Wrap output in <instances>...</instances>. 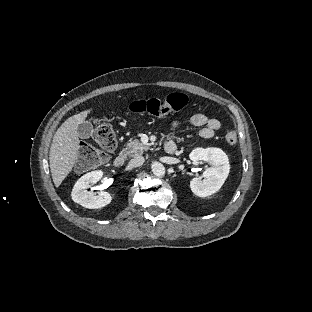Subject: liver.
<instances>
[{
	"label": "liver",
	"mask_w": 312,
	"mask_h": 312,
	"mask_svg": "<svg viewBox=\"0 0 312 312\" xmlns=\"http://www.w3.org/2000/svg\"><path fill=\"white\" fill-rule=\"evenodd\" d=\"M91 109L69 117L56 131L49 152L50 171L53 182L59 187L71 172L77 158L79 146V124L85 122Z\"/></svg>",
	"instance_id": "6515ba94"
}]
</instances>
